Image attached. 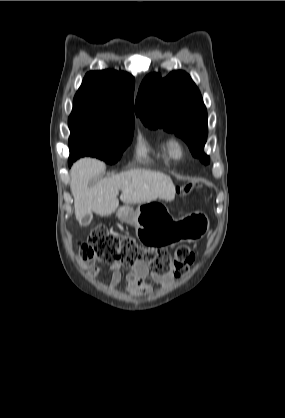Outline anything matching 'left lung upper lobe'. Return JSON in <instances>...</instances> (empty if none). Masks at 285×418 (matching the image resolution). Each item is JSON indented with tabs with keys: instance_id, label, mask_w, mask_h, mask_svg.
I'll use <instances>...</instances> for the list:
<instances>
[{
	"instance_id": "1",
	"label": "left lung upper lobe",
	"mask_w": 285,
	"mask_h": 418,
	"mask_svg": "<svg viewBox=\"0 0 285 418\" xmlns=\"http://www.w3.org/2000/svg\"><path fill=\"white\" fill-rule=\"evenodd\" d=\"M135 112L151 129L163 128L181 137L192 155L202 163L210 158L203 151L207 140V110L202 96L190 76L173 71L166 78L149 74L142 82Z\"/></svg>"
}]
</instances>
